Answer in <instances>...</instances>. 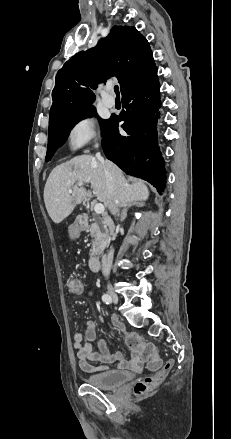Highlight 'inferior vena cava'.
<instances>
[{"label":"inferior vena cava","instance_id":"602c4592","mask_svg":"<svg viewBox=\"0 0 231 439\" xmlns=\"http://www.w3.org/2000/svg\"><path fill=\"white\" fill-rule=\"evenodd\" d=\"M96 147H98V145H96ZM96 158L100 161V163L104 167V174H105L106 183L108 186V192H109L110 196L113 198L112 212H116L118 210L120 203L115 198V194H116V192H115V179H114V177L111 173V170H110L111 165L107 161H104L103 157L101 156V154L99 152L96 153ZM113 254H114V249L111 248L108 251V253L102 257V272L106 277L109 276L110 271H111Z\"/></svg>","mask_w":231,"mask_h":439}]
</instances>
